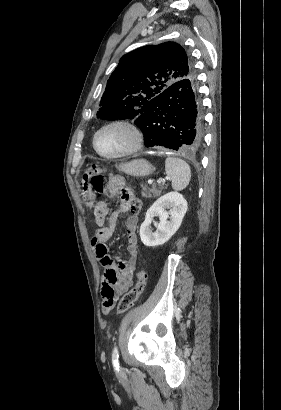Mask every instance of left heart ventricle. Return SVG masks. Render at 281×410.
<instances>
[{
    "label": "left heart ventricle",
    "mask_w": 281,
    "mask_h": 410,
    "mask_svg": "<svg viewBox=\"0 0 281 410\" xmlns=\"http://www.w3.org/2000/svg\"><path fill=\"white\" fill-rule=\"evenodd\" d=\"M132 144L130 132L121 127L103 130L97 137V147L105 154H118L127 150Z\"/></svg>",
    "instance_id": "b2bd125f"
}]
</instances>
